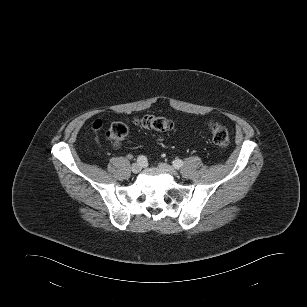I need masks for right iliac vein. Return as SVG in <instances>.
<instances>
[{"label":"right iliac vein","mask_w":307,"mask_h":307,"mask_svg":"<svg viewBox=\"0 0 307 307\" xmlns=\"http://www.w3.org/2000/svg\"><path fill=\"white\" fill-rule=\"evenodd\" d=\"M141 169H142V165L139 164V163H134V164H132V166H131V170H132V172H133L134 174L139 173V172L141 171Z\"/></svg>","instance_id":"1"}]
</instances>
